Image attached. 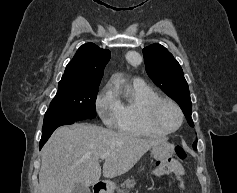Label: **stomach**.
Segmentation results:
<instances>
[{
    "mask_svg": "<svg viewBox=\"0 0 237 193\" xmlns=\"http://www.w3.org/2000/svg\"><path fill=\"white\" fill-rule=\"evenodd\" d=\"M173 146L166 141H161L152 147L151 153L156 159H165L172 154ZM115 185L108 184L105 193H114Z\"/></svg>",
    "mask_w": 237,
    "mask_h": 193,
    "instance_id": "obj_1",
    "label": "stomach"
}]
</instances>
